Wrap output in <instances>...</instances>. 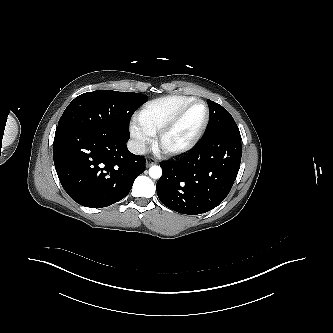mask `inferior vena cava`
Instances as JSON below:
<instances>
[{
	"label": "inferior vena cava",
	"instance_id": "1",
	"mask_svg": "<svg viewBox=\"0 0 333 333\" xmlns=\"http://www.w3.org/2000/svg\"><path fill=\"white\" fill-rule=\"evenodd\" d=\"M127 147L131 153L136 155H143L146 152L145 144L139 140H129Z\"/></svg>",
	"mask_w": 333,
	"mask_h": 333
}]
</instances>
